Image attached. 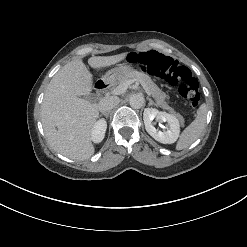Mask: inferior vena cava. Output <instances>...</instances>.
<instances>
[{
    "label": "inferior vena cava",
    "instance_id": "obj_1",
    "mask_svg": "<svg viewBox=\"0 0 247 247\" xmlns=\"http://www.w3.org/2000/svg\"><path fill=\"white\" fill-rule=\"evenodd\" d=\"M120 102L119 97L116 96H108L102 98L98 103V109L102 113H107L110 110H112L116 105H118Z\"/></svg>",
    "mask_w": 247,
    "mask_h": 247
}]
</instances>
